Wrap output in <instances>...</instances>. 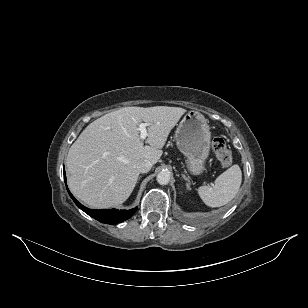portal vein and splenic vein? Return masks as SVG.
Instances as JSON below:
<instances>
[{"label":"portal vein and splenic vein","mask_w":308,"mask_h":308,"mask_svg":"<svg viewBox=\"0 0 308 308\" xmlns=\"http://www.w3.org/2000/svg\"><path fill=\"white\" fill-rule=\"evenodd\" d=\"M149 124L147 123H140L139 124V128L138 130L140 131V139L141 140H145L148 136V133H147V130H146V127L148 126Z\"/></svg>","instance_id":"1"}]
</instances>
